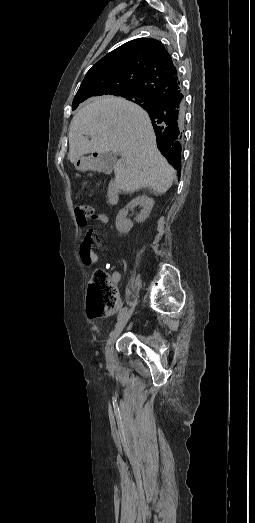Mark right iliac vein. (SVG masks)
I'll use <instances>...</instances> for the list:
<instances>
[{"instance_id": "1", "label": "right iliac vein", "mask_w": 255, "mask_h": 523, "mask_svg": "<svg viewBox=\"0 0 255 523\" xmlns=\"http://www.w3.org/2000/svg\"><path fill=\"white\" fill-rule=\"evenodd\" d=\"M132 312H133V310L131 309L123 316V318L118 322L116 328L110 335V338H109L106 348H105V356H106L107 361H111L113 359L115 342L118 339L119 335L121 334L123 328L127 324L128 320L130 319Z\"/></svg>"}]
</instances>
